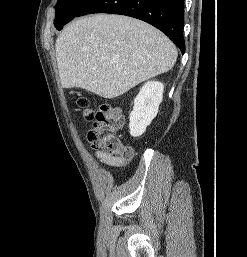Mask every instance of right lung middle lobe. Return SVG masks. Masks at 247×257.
I'll list each match as a JSON object with an SVG mask.
<instances>
[{"mask_svg": "<svg viewBox=\"0 0 247 257\" xmlns=\"http://www.w3.org/2000/svg\"><path fill=\"white\" fill-rule=\"evenodd\" d=\"M92 0H58L56 4V29L62 28L66 23L76 17Z\"/></svg>", "mask_w": 247, "mask_h": 257, "instance_id": "right-lung-middle-lobe-1", "label": "right lung middle lobe"}]
</instances>
